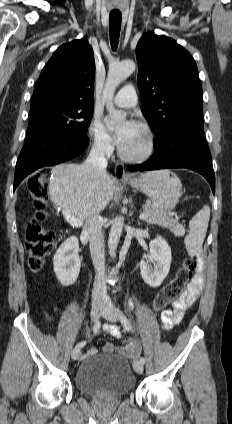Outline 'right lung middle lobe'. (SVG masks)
Here are the masks:
<instances>
[{
    "instance_id": "right-lung-middle-lobe-1",
    "label": "right lung middle lobe",
    "mask_w": 232,
    "mask_h": 424,
    "mask_svg": "<svg viewBox=\"0 0 232 424\" xmlns=\"http://www.w3.org/2000/svg\"><path fill=\"white\" fill-rule=\"evenodd\" d=\"M93 115V107L50 103L31 108L27 136L51 132L85 136Z\"/></svg>"
}]
</instances>
